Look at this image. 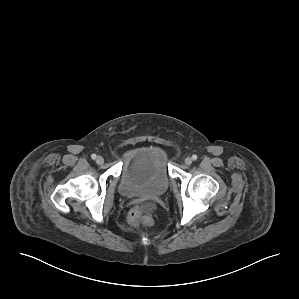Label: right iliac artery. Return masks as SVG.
I'll return each instance as SVG.
<instances>
[{
	"label": "right iliac artery",
	"instance_id": "82829eb1",
	"mask_svg": "<svg viewBox=\"0 0 299 299\" xmlns=\"http://www.w3.org/2000/svg\"><path fill=\"white\" fill-rule=\"evenodd\" d=\"M91 158H92V159H96V158H97L96 154H92V155H91Z\"/></svg>",
	"mask_w": 299,
	"mask_h": 299
}]
</instances>
